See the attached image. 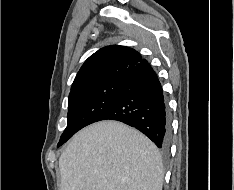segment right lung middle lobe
Listing matches in <instances>:
<instances>
[{"label": "right lung middle lobe", "mask_w": 234, "mask_h": 190, "mask_svg": "<svg viewBox=\"0 0 234 190\" xmlns=\"http://www.w3.org/2000/svg\"><path fill=\"white\" fill-rule=\"evenodd\" d=\"M124 79H116L69 95L67 127L57 147L83 127L94 123L112 106Z\"/></svg>", "instance_id": "obj_1"}]
</instances>
